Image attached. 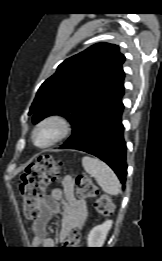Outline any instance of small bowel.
Segmentation results:
<instances>
[{
	"mask_svg": "<svg viewBox=\"0 0 162 261\" xmlns=\"http://www.w3.org/2000/svg\"><path fill=\"white\" fill-rule=\"evenodd\" d=\"M64 202L61 213L60 239H67L74 230L81 229L87 216V206L84 201L77 200L74 196V183L70 176L61 180V187L52 190L42 204L38 220L33 226V243L44 248L56 246L54 239L46 237V228L50 219L60 211V203Z\"/></svg>",
	"mask_w": 162,
	"mask_h": 261,
	"instance_id": "c3829d8e",
	"label": "small bowel"
}]
</instances>
